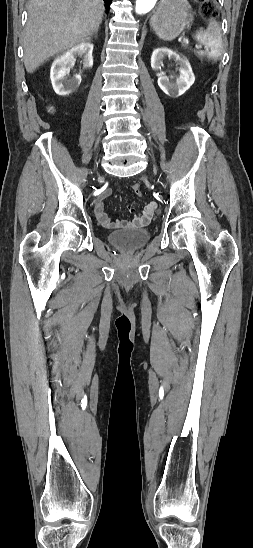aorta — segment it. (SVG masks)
Here are the masks:
<instances>
[{
	"instance_id": "aorta-1",
	"label": "aorta",
	"mask_w": 253,
	"mask_h": 548,
	"mask_svg": "<svg viewBox=\"0 0 253 548\" xmlns=\"http://www.w3.org/2000/svg\"><path fill=\"white\" fill-rule=\"evenodd\" d=\"M157 3V0H136L135 11L138 14L149 12Z\"/></svg>"
}]
</instances>
